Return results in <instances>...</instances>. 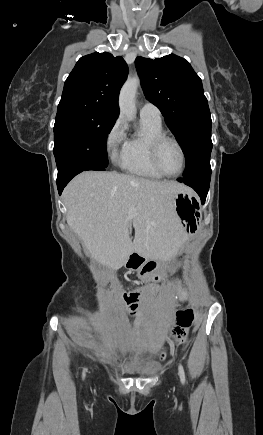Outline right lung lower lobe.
I'll return each mask as SVG.
<instances>
[{
  "instance_id": "obj_1",
  "label": "right lung lower lobe",
  "mask_w": 263,
  "mask_h": 435,
  "mask_svg": "<svg viewBox=\"0 0 263 435\" xmlns=\"http://www.w3.org/2000/svg\"><path fill=\"white\" fill-rule=\"evenodd\" d=\"M106 168L96 166V165H90L85 163H70L64 166L61 170L58 171L57 176V187L59 195H61L64 187L67 185V183L77 174H79L82 171L87 170H97V171H103Z\"/></svg>"
}]
</instances>
